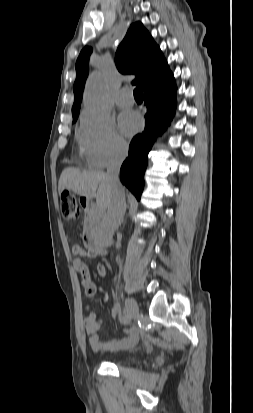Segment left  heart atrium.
<instances>
[{
	"mask_svg": "<svg viewBox=\"0 0 253 413\" xmlns=\"http://www.w3.org/2000/svg\"><path fill=\"white\" fill-rule=\"evenodd\" d=\"M119 124H120L121 131L125 135L130 136L136 133L140 129L142 125V120H141V117L136 112L127 111V112H123L120 115Z\"/></svg>",
	"mask_w": 253,
	"mask_h": 413,
	"instance_id": "left-heart-atrium-1",
	"label": "left heart atrium"
}]
</instances>
